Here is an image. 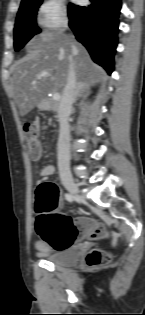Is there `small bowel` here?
<instances>
[{
    "label": "small bowel",
    "mask_w": 145,
    "mask_h": 315,
    "mask_svg": "<svg viewBox=\"0 0 145 315\" xmlns=\"http://www.w3.org/2000/svg\"><path fill=\"white\" fill-rule=\"evenodd\" d=\"M36 126H39V122H36ZM55 174V167L53 165H45L40 171L39 176L40 177H50ZM60 205H62V200L60 199ZM35 250L38 255L45 256L52 251V246L48 244L47 242L38 239L35 241Z\"/></svg>",
    "instance_id": "1"
}]
</instances>
